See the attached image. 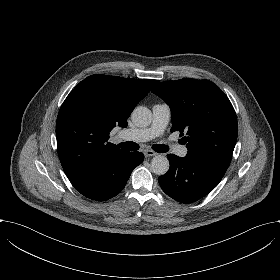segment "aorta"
<instances>
[{
  "label": "aorta",
  "instance_id": "aorta-1",
  "mask_svg": "<svg viewBox=\"0 0 280 280\" xmlns=\"http://www.w3.org/2000/svg\"><path fill=\"white\" fill-rule=\"evenodd\" d=\"M132 122L137 127H147L151 124L152 113L147 107L138 106L131 114ZM169 160L163 155L152 158L150 170L156 175H164L169 170Z\"/></svg>",
  "mask_w": 280,
  "mask_h": 280
}]
</instances>
